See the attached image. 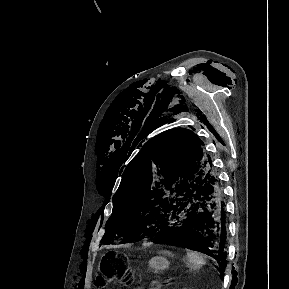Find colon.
Returning <instances> with one entry per match:
<instances>
[{
	"instance_id": "5ec220e1",
	"label": "colon",
	"mask_w": 289,
	"mask_h": 289,
	"mask_svg": "<svg viewBox=\"0 0 289 289\" xmlns=\"http://www.w3.org/2000/svg\"><path fill=\"white\" fill-rule=\"evenodd\" d=\"M131 282V272L120 262L119 256L114 252H107L97 272L96 285L99 287L110 284L127 286Z\"/></svg>"
}]
</instances>
